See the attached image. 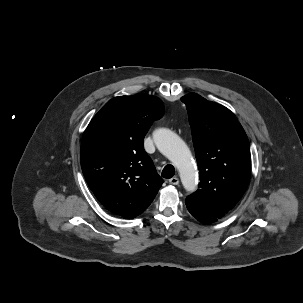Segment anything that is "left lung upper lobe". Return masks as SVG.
<instances>
[{
	"instance_id": "obj_1",
	"label": "left lung upper lobe",
	"mask_w": 303,
	"mask_h": 303,
	"mask_svg": "<svg viewBox=\"0 0 303 303\" xmlns=\"http://www.w3.org/2000/svg\"><path fill=\"white\" fill-rule=\"evenodd\" d=\"M186 104L200 170V189L187 203L218 219L243 196L251 174L247 135L226 107L196 93L181 98Z\"/></svg>"
}]
</instances>
